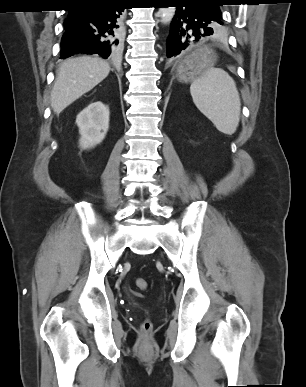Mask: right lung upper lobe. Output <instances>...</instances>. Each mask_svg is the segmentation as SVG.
Returning a JSON list of instances; mask_svg holds the SVG:
<instances>
[{
  "mask_svg": "<svg viewBox=\"0 0 306 387\" xmlns=\"http://www.w3.org/2000/svg\"><path fill=\"white\" fill-rule=\"evenodd\" d=\"M71 5H84V4H99L109 0H69ZM74 22L73 18L68 15L64 26H70Z\"/></svg>",
  "mask_w": 306,
  "mask_h": 387,
  "instance_id": "1",
  "label": "right lung upper lobe"
}]
</instances>
